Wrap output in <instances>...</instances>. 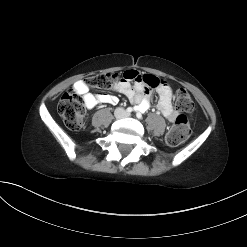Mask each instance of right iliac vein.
I'll use <instances>...</instances> for the list:
<instances>
[{
  "label": "right iliac vein",
  "mask_w": 247,
  "mask_h": 247,
  "mask_svg": "<svg viewBox=\"0 0 247 247\" xmlns=\"http://www.w3.org/2000/svg\"><path fill=\"white\" fill-rule=\"evenodd\" d=\"M120 115H121V111H118V112L116 113V117H120Z\"/></svg>",
  "instance_id": "obj_1"
}]
</instances>
